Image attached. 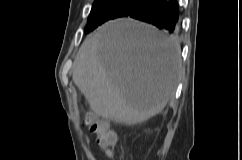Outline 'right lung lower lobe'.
Wrapping results in <instances>:
<instances>
[{"label": "right lung lower lobe", "instance_id": "98d812e1", "mask_svg": "<svg viewBox=\"0 0 242 160\" xmlns=\"http://www.w3.org/2000/svg\"><path fill=\"white\" fill-rule=\"evenodd\" d=\"M125 16L152 24L170 34L179 32L177 0H145Z\"/></svg>", "mask_w": 242, "mask_h": 160}]
</instances>
